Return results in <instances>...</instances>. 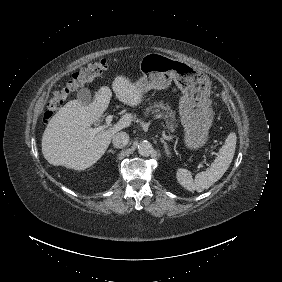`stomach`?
<instances>
[{
	"mask_svg": "<svg viewBox=\"0 0 282 282\" xmlns=\"http://www.w3.org/2000/svg\"><path fill=\"white\" fill-rule=\"evenodd\" d=\"M139 68L143 76L134 85L142 94L151 89H166L172 80L181 89L179 113L185 144L189 149L204 146L214 119L209 99L210 78L184 61L156 52L144 55Z\"/></svg>",
	"mask_w": 282,
	"mask_h": 282,
	"instance_id": "obj_1",
	"label": "stomach"
}]
</instances>
